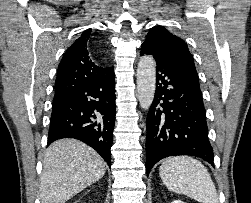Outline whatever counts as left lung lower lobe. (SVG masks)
<instances>
[{"instance_id": "obj_1", "label": "left lung lower lobe", "mask_w": 251, "mask_h": 203, "mask_svg": "<svg viewBox=\"0 0 251 203\" xmlns=\"http://www.w3.org/2000/svg\"><path fill=\"white\" fill-rule=\"evenodd\" d=\"M156 60V91L147 115V175L161 159L197 156L214 165L199 80L179 63L141 47Z\"/></svg>"}]
</instances>
